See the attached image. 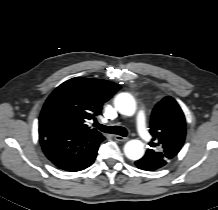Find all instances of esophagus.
<instances>
[{"label":"esophagus","mask_w":218,"mask_h":210,"mask_svg":"<svg viewBox=\"0 0 218 210\" xmlns=\"http://www.w3.org/2000/svg\"><path fill=\"white\" fill-rule=\"evenodd\" d=\"M114 138H115V140H117L119 142H126V141H128L127 137H123V136H120V135H115Z\"/></svg>","instance_id":"obj_1"}]
</instances>
